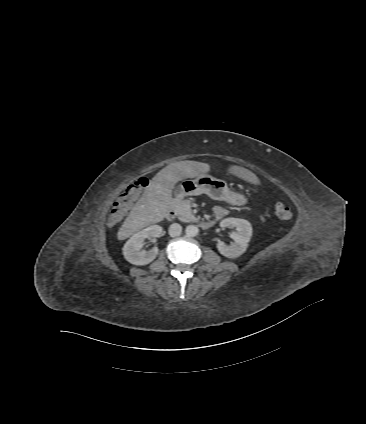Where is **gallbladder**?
I'll list each match as a JSON object with an SVG mask.
<instances>
[{"mask_svg":"<svg viewBox=\"0 0 366 424\" xmlns=\"http://www.w3.org/2000/svg\"><path fill=\"white\" fill-rule=\"evenodd\" d=\"M181 194V189H180V187L178 186L177 188H175V190H174V195L175 196H178V195H180Z\"/></svg>","mask_w":366,"mask_h":424,"instance_id":"obj_1","label":"gallbladder"}]
</instances>
